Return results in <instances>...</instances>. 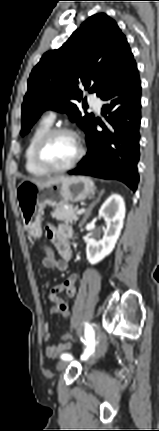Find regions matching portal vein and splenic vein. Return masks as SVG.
Here are the masks:
<instances>
[{
    "mask_svg": "<svg viewBox=\"0 0 159 431\" xmlns=\"http://www.w3.org/2000/svg\"><path fill=\"white\" fill-rule=\"evenodd\" d=\"M84 212H85V209H80V210H78V211H77V214H78V215H81V214H83Z\"/></svg>",
    "mask_w": 159,
    "mask_h": 431,
    "instance_id": "obj_1",
    "label": "portal vein and splenic vein"
}]
</instances>
